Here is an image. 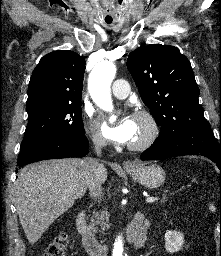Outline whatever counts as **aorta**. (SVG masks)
Segmentation results:
<instances>
[{
  "label": "aorta",
  "mask_w": 221,
  "mask_h": 256,
  "mask_svg": "<svg viewBox=\"0 0 221 256\" xmlns=\"http://www.w3.org/2000/svg\"><path fill=\"white\" fill-rule=\"evenodd\" d=\"M115 75L116 66L114 63L108 61L98 63L89 75L88 89L90 96L105 111L113 110L110 86ZM122 253V238L118 236L114 243L113 256H122Z\"/></svg>",
  "instance_id": "aorta-1"
}]
</instances>
